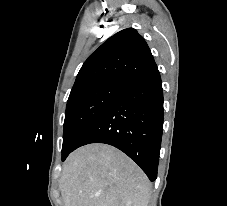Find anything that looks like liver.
Returning a JSON list of instances; mask_svg holds the SVG:
<instances>
[{"instance_id": "liver-1", "label": "liver", "mask_w": 227, "mask_h": 206, "mask_svg": "<svg viewBox=\"0 0 227 206\" xmlns=\"http://www.w3.org/2000/svg\"><path fill=\"white\" fill-rule=\"evenodd\" d=\"M60 189L64 206H148L151 184L124 153L95 143L68 156Z\"/></svg>"}]
</instances>
